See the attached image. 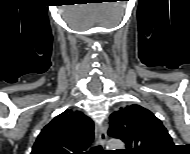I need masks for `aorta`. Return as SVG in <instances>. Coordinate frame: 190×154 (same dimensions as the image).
<instances>
[{
	"instance_id": "aorta-1",
	"label": "aorta",
	"mask_w": 190,
	"mask_h": 154,
	"mask_svg": "<svg viewBox=\"0 0 190 154\" xmlns=\"http://www.w3.org/2000/svg\"><path fill=\"white\" fill-rule=\"evenodd\" d=\"M108 150L124 149V143L119 139H111L107 144Z\"/></svg>"
}]
</instances>
